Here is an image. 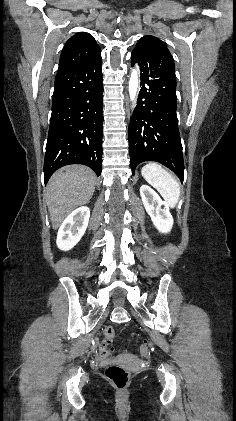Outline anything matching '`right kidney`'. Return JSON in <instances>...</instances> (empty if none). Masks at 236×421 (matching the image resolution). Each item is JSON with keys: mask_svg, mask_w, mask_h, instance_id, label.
I'll list each match as a JSON object with an SVG mask.
<instances>
[{"mask_svg": "<svg viewBox=\"0 0 236 421\" xmlns=\"http://www.w3.org/2000/svg\"><path fill=\"white\" fill-rule=\"evenodd\" d=\"M90 208L79 206L65 221H63L58 233L56 245L61 251H69L82 239L89 223Z\"/></svg>", "mask_w": 236, "mask_h": 421, "instance_id": "right-kidney-1", "label": "right kidney"}]
</instances>
